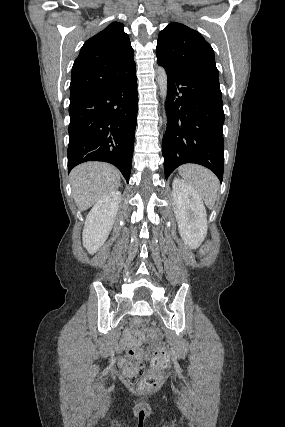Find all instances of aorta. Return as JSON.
Wrapping results in <instances>:
<instances>
[{"mask_svg":"<svg viewBox=\"0 0 285 427\" xmlns=\"http://www.w3.org/2000/svg\"><path fill=\"white\" fill-rule=\"evenodd\" d=\"M156 81L160 90V96L161 99L163 101V103L166 101L167 98V92H168V78H167V74L166 71L163 67H158L157 69V77H156ZM163 121H164V125L166 127L167 124V116H166V111L163 108Z\"/></svg>","mask_w":285,"mask_h":427,"instance_id":"1","label":"aorta"}]
</instances>
